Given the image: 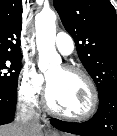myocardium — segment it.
Listing matches in <instances>:
<instances>
[{
  "label": "myocardium",
  "mask_w": 117,
  "mask_h": 136,
  "mask_svg": "<svg viewBox=\"0 0 117 136\" xmlns=\"http://www.w3.org/2000/svg\"><path fill=\"white\" fill-rule=\"evenodd\" d=\"M66 72L71 73V74H76L80 77H82L84 79V81L86 82L90 94H91V104L89 109L80 115H70V114H66L63 112H60L56 109H54L49 101V84L47 85L46 88V93H45V107L48 110L49 113L58 116L60 118L69 120V121H76V122H80V121H86L90 118H92L95 113L98 110L99 107V93H98V89L93 81V79L91 78V76L83 69H81L78 66H74V65H64L62 67Z\"/></svg>",
  "instance_id": "1"
}]
</instances>
